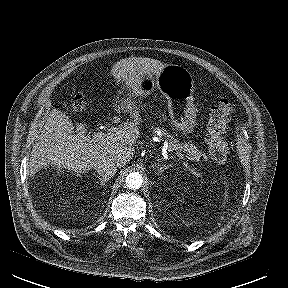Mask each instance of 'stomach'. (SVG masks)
<instances>
[{"label":"stomach","mask_w":288,"mask_h":288,"mask_svg":"<svg viewBox=\"0 0 288 288\" xmlns=\"http://www.w3.org/2000/svg\"><path fill=\"white\" fill-rule=\"evenodd\" d=\"M157 87L168 100V113L174 129L187 136L194 131L197 108L193 103V81L183 68L169 66L160 76L148 83L145 95Z\"/></svg>","instance_id":"obj_1"}]
</instances>
